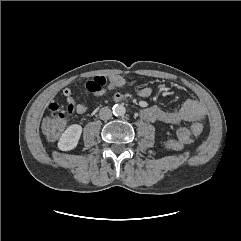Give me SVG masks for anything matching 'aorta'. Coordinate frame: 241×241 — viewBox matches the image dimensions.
Returning <instances> with one entry per match:
<instances>
[{"label": "aorta", "instance_id": "aorta-1", "mask_svg": "<svg viewBox=\"0 0 241 241\" xmlns=\"http://www.w3.org/2000/svg\"><path fill=\"white\" fill-rule=\"evenodd\" d=\"M126 113V109L123 105L116 104L113 106V114L115 116H123Z\"/></svg>", "mask_w": 241, "mask_h": 241}]
</instances>
